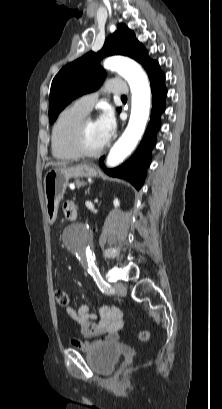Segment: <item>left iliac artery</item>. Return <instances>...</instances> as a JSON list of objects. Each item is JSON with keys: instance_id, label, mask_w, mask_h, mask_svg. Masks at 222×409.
<instances>
[{"instance_id": "obj_1", "label": "left iliac artery", "mask_w": 222, "mask_h": 409, "mask_svg": "<svg viewBox=\"0 0 222 409\" xmlns=\"http://www.w3.org/2000/svg\"><path fill=\"white\" fill-rule=\"evenodd\" d=\"M90 273L93 276V279L95 280L97 286L104 294H114V289L111 287L110 284L104 281V279L102 278L97 268L94 270H91Z\"/></svg>"}]
</instances>
